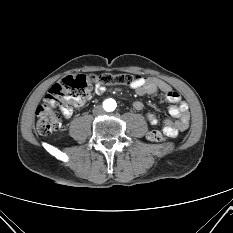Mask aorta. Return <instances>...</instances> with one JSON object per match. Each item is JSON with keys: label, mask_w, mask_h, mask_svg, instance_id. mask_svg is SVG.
<instances>
[{"label": "aorta", "mask_w": 233, "mask_h": 233, "mask_svg": "<svg viewBox=\"0 0 233 233\" xmlns=\"http://www.w3.org/2000/svg\"><path fill=\"white\" fill-rule=\"evenodd\" d=\"M104 107L107 111H113L116 108V102L112 99H108L105 101Z\"/></svg>", "instance_id": "762f6f07"}]
</instances>
